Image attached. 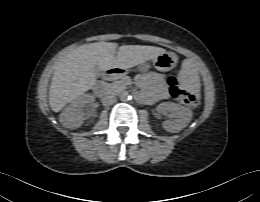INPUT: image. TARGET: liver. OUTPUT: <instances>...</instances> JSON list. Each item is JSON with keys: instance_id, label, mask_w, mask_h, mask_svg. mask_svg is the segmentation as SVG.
Segmentation results:
<instances>
[{"instance_id": "liver-1", "label": "liver", "mask_w": 260, "mask_h": 202, "mask_svg": "<svg viewBox=\"0 0 260 202\" xmlns=\"http://www.w3.org/2000/svg\"><path fill=\"white\" fill-rule=\"evenodd\" d=\"M112 42L84 44L67 54L55 67L49 90V104L59 112L96 83L94 68H132L166 52L154 46L122 45ZM115 54H117L115 56Z\"/></svg>"}]
</instances>
